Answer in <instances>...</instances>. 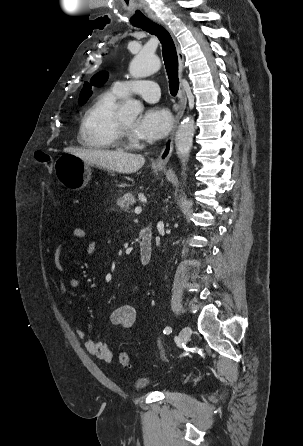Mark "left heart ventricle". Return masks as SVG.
I'll use <instances>...</instances> for the list:
<instances>
[{"label": "left heart ventricle", "instance_id": "1", "mask_svg": "<svg viewBox=\"0 0 303 446\" xmlns=\"http://www.w3.org/2000/svg\"><path fill=\"white\" fill-rule=\"evenodd\" d=\"M121 120L129 130H132L136 123L134 118H122Z\"/></svg>", "mask_w": 303, "mask_h": 446}]
</instances>
